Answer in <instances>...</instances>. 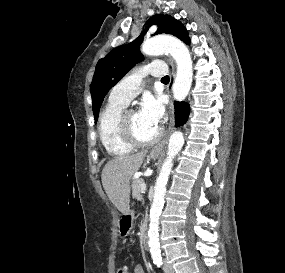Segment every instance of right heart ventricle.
<instances>
[{"label":"right heart ventricle","instance_id":"1","mask_svg":"<svg viewBox=\"0 0 285 273\" xmlns=\"http://www.w3.org/2000/svg\"><path fill=\"white\" fill-rule=\"evenodd\" d=\"M126 107L125 103L110 101L100 113L98 135L104 149L111 155L129 154L134 147L125 143L119 134V117Z\"/></svg>","mask_w":285,"mask_h":273}]
</instances>
